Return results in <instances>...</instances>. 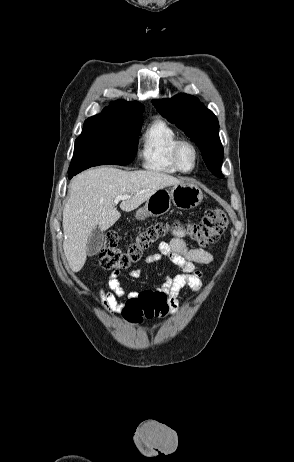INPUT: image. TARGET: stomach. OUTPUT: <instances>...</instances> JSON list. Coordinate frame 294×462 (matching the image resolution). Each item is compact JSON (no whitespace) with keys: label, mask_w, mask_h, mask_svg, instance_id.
<instances>
[{"label":"stomach","mask_w":294,"mask_h":462,"mask_svg":"<svg viewBox=\"0 0 294 462\" xmlns=\"http://www.w3.org/2000/svg\"><path fill=\"white\" fill-rule=\"evenodd\" d=\"M203 199L199 187L191 183H180L168 189H159L146 201L135 214L137 220H145L150 216H160L168 212L173 204L178 209L190 210L197 207Z\"/></svg>","instance_id":"obj_1"}]
</instances>
